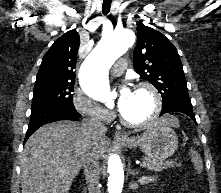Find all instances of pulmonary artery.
Instances as JSON below:
<instances>
[{
	"label": "pulmonary artery",
	"instance_id": "pulmonary-artery-1",
	"mask_svg": "<svg viewBox=\"0 0 221 193\" xmlns=\"http://www.w3.org/2000/svg\"><path fill=\"white\" fill-rule=\"evenodd\" d=\"M126 66H127L126 59L122 58V59L118 60V62L113 66V68L111 69V73L114 76H119L123 73Z\"/></svg>",
	"mask_w": 221,
	"mask_h": 193
}]
</instances>
